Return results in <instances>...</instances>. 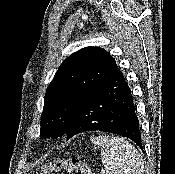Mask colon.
<instances>
[{"label": "colon", "instance_id": "1", "mask_svg": "<svg viewBox=\"0 0 175 174\" xmlns=\"http://www.w3.org/2000/svg\"><path fill=\"white\" fill-rule=\"evenodd\" d=\"M62 171H66L68 174H95L88 164L76 156L52 159L42 164L36 174H59Z\"/></svg>", "mask_w": 175, "mask_h": 174}]
</instances>
